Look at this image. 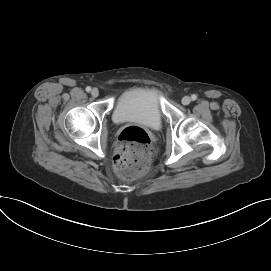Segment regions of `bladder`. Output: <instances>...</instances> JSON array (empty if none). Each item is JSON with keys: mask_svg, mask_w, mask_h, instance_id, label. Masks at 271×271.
I'll use <instances>...</instances> for the list:
<instances>
[{"mask_svg": "<svg viewBox=\"0 0 271 271\" xmlns=\"http://www.w3.org/2000/svg\"><path fill=\"white\" fill-rule=\"evenodd\" d=\"M116 123L137 122L151 129H159L163 112L158 94L153 90L135 89L123 93L113 111Z\"/></svg>", "mask_w": 271, "mask_h": 271, "instance_id": "obj_1", "label": "bladder"}]
</instances>
